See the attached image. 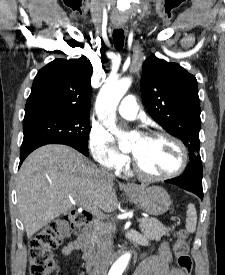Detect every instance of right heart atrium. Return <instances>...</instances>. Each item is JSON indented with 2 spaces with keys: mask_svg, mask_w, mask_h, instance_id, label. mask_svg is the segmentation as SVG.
I'll use <instances>...</instances> for the list:
<instances>
[{
  "mask_svg": "<svg viewBox=\"0 0 225 275\" xmlns=\"http://www.w3.org/2000/svg\"><path fill=\"white\" fill-rule=\"evenodd\" d=\"M89 148L97 163L107 169L122 170L129 164V158L113 143L108 131L93 126L89 134Z\"/></svg>",
  "mask_w": 225,
  "mask_h": 275,
  "instance_id": "obj_1",
  "label": "right heart atrium"
}]
</instances>
